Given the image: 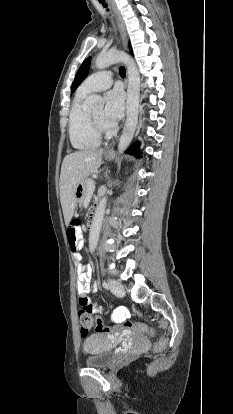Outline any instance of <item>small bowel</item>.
Segmentation results:
<instances>
[{"label":"small bowel","mask_w":233,"mask_h":414,"mask_svg":"<svg viewBox=\"0 0 233 414\" xmlns=\"http://www.w3.org/2000/svg\"><path fill=\"white\" fill-rule=\"evenodd\" d=\"M79 235H82V232H79ZM82 247V243L80 244L79 249ZM82 251H85V248H82ZM72 256L74 259V267L76 268L77 272V284L76 289L77 293L80 297H86L90 302L91 299L88 294L91 291L90 281L92 276V270L90 266H87L82 263V255L78 251L72 252ZM93 310H101L97 303H92ZM129 317V311L124 307H117L112 309L111 313V321L114 323H121L125 321Z\"/></svg>","instance_id":"obj_1"}]
</instances>
